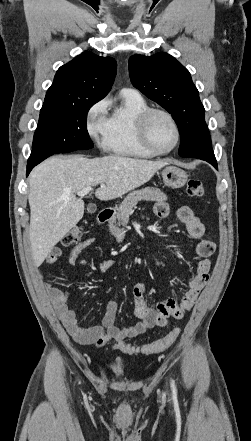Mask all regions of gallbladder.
Here are the masks:
<instances>
[{
    "mask_svg": "<svg viewBox=\"0 0 251 441\" xmlns=\"http://www.w3.org/2000/svg\"><path fill=\"white\" fill-rule=\"evenodd\" d=\"M87 210H88L89 213H94V212H96L97 207H96L95 204H89L88 207H87Z\"/></svg>",
    "mask_w": 251,
    "mask_h": 441,
    "instance_id": "bac80fb5",
    "label": "gallbladder"
}]
</instances>
